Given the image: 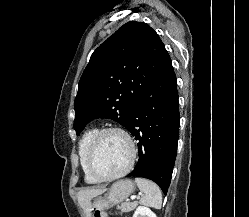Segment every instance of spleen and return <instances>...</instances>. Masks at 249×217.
<instances>
[{"instance_id": "spleen-1", "label": "spleen", "mask_w": 249, "mask_h": 217, "mask_svg": "<svg viewBox=\"0 0 249 217\" xmlns=\"http://www.w3.org/2000/svg\"><path fill=\"white\" fill-rule=\"evenodd\" d=\"M135 182L140 191L143 192L140 203L160 209L162 205V193L159 186L150 180L139 177L135 178Z\"/></svg>"}]
</instances>
